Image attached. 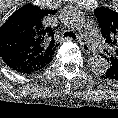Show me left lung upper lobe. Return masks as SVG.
<instances>
[{
  "mask_svg": "<svg viewBox=\"0 0 118 118\" xmlns=\"http://www.w3.org/2000/svg\"><path fill=\"white\" fill-rule=\"evenodd\" d=\"M94 14L101 28L105 42L110 45L106 52L108 69L101 76L104 79L118 80V13L105 7L97 8Z\"/></svg>",
  "mask_w": 118,
  "mask_h": 118,
  "instance_id": "5c2ea615",
  "label": "left lung upper lobe"
}]
</instances>
